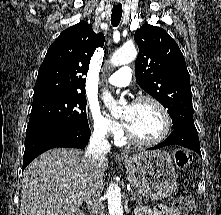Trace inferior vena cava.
Returning a JSON list of instances; mask_svg holds the SVG:
<instances>
[{"label": "inferior vena cava", "instance_id": "602c4592", "mask_svg": "<svg viewBox=\"0 0 221 215\" xmlns=\"http://www.w3.org/2000/svg\"><path fill=\"white\" fill-rule=\"evenodd\" d=\"M111 146L105 138V132L101 129L95 130L91 136L89 145L86 150V157L90 159L92 164L97 166L110 150ZM101 188L99 184H91L90 190L85 198L86 204L91 215H105L104 206L100 201Z\"/></svg>", "mask_w": 221, "mask_h": 215}]
</instances>
